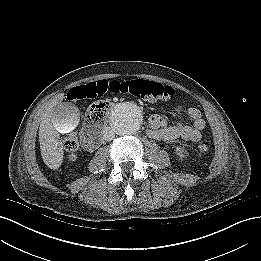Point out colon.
<instances>
[{"instance_id": "obj_1", "label": "colon", "mask_w": 261, "mask_h": 261, "mask_svg": "<svg viewBox=\"0 0 261 261\" xmlns=\"http://www.w3.org/2000/svg\"><path fill=\"white\" fill-rule=\"evenodd\" d=\"M106 94H126L141 98L150 102H164L169 100L175 94V89L157 82L145 79L132 80H99L85 85L75 87L70 90L68 97L70 100H80L85 98H101ZM110 111V104L107 101H97L89 106L86 112L87 127H97L104 123ZM83 145L89 147L83 139ZM81 143L76 134L69 135L63 142L64 150L70 160L77 158V152ZM201 152H207L210 149V141L203 139L198 144Z\"/></svg>"}]
</instances>
